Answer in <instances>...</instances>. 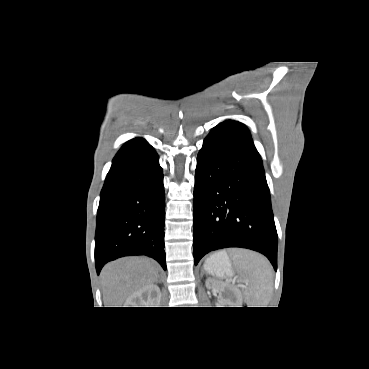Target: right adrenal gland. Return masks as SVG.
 Returning <instances> with one entry per match:
<instances>
[{
    "mask_svg": "<svg viewBox=\"0 0 369 369\" xmlns=\"http://www.w3.org/2000/svg\"><path fill=\"white\" fill-rule=\"evenodd\" d=\"M156 282H161V280H157Z\"/></svg>",
    "mask_w": 369,
    "mask_h": 369,
    "instance_id": "2a0ac1e0",
    "label": "right adrenal gland"
}]
</instances>
